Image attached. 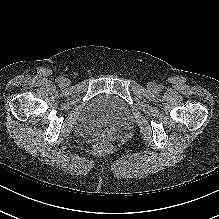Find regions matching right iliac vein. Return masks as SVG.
I'll use <instances>...</instances> for the list:
<instances>
[{
    "mask_svg": "<svg viewBox=\"0 0 219 219\" xmlns=\"http://www.w3.org/2000/svg\"><path fill=\"white\" fill-rule=\"evenodd\" d=\"M70 84V80L68 78H63L61 81L62 86H68Z\"/></svg>",
    "mask_w": 219,
    "mask_h": 219,
    "instance_id": "obj_1",
    "label": "right iliac vein"
}]
</instances>
